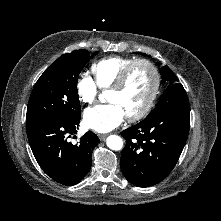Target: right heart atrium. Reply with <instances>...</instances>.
Segmentation results:
<instances>
[{
    "mask_svg": "<svg viewBox=\"0 0 221 221\" xmlns=\"http://www.w3.org/2000/svg\"><path fill=\"white\" fill-rule=\"evenodd\" d=\"M76 90L80 101L84 104H92L98 98V87L89 76L83 75L78 79Z\"/></svg>",
    "mask_w": 221,
    "mask_h": 221,
    "instance_id": "right-heart-atrium-1",
    "label": "right heart atrium"
}]
</instances>
